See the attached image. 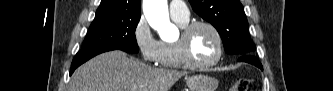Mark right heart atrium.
Listing matches in <instances>:
<instances>
[{"instance_id": "1", "label": "right heart atrium", "mask_w": 333, "mask_h": 91, "mask_svg": "<svg viewBox=\"0 0 333 91\" xmlns=\"http://www.w3.org/2000/svg\"><path fill=\"white\" fill-rule=\"evenodd\" d=\"M132 36L144 61L158 63L160 41L154 36L147 20L142 16L133 27Z\"/></svg>"}]
</instances>
